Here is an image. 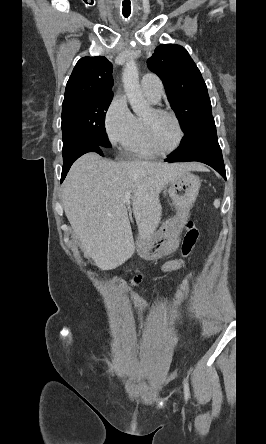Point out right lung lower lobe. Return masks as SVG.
I'll use <instances>...</instances> for the list:
<instances>
[{"label": "right lung lower lobe", "mask_w": 266, "mask_h": 444, "mask_svg": "<svg viewBox=\"0 0 266 444\" xmlns=\"http://www.w3.org/2000/svg\"><path fill=\"white\" fill-rule=\"evenodd\" d=\"M88 152H96L100 155H103V148L96 145V144H86V145H83L82 147H80L74 155L70 156L66 160H63L64 165L62 168L61 182L65 179L67 172L69 171V169H70L71 165L74 163V161L77 160L83 154L88 153Z\"/></svg>", "instance_id": "obj_1"}]
</instances>
